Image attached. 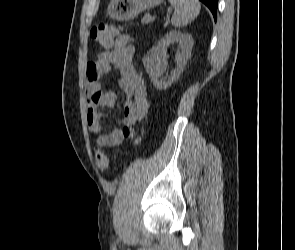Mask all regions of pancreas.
<instances>
[{
  "mask_svg": "<svg viewBox=\"0 0 295 250\" xmlns=\"http://www.w3.org/2000/svg\"><path fill=\"white\" fill-rule=\"evenodd\" d=\"M152 21V18H151V16L149 15V14H146L144 17H143V19H142V23L143 24H147V23H149V22H151Z\"/></svg>",
  "mask_w": 295,
  "mask_h": 250,
  "instance_id": "1",
  "label": "pancreas"
}]
</instances>
